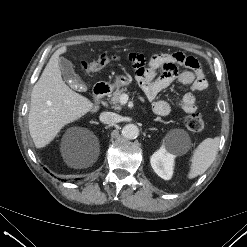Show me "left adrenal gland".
Returning a JSON list of instances; mask_svg holds the SVG:
<instances>
[{"label": "left adrenal gland", "mask_w": 247, "mask_h": 247, "mask_svg": "<svg viewBox=\"0 0 247 247\" xmlns=\"http://www.w3.org/2000/svg\"><path fill=\"white\" fill-rule=\"evenodd\" d=\"M149 130H155L156 131L157 129L156 128H149Z\"/></svg>", "instance_id": "obj_1"}]
</instances>
